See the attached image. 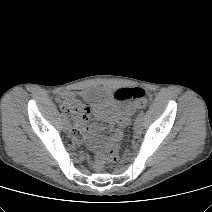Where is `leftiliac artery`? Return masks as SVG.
<instances>
[{
    "label": "left iliac artery",
    "instance_id": "obj_1",
    "mask_svg": "<svg viewBox=\"0 0 212 212\" xmlns=\"http://www.w3.org/2000/svg\"><path fill=\"white\" fill-rule=\"evenodd\" d=\"M138 117H139L140 119H143V117H144V111H143V110L140 111V113L138 114Z\"/></svg>",
    "mask_w": 212,
    "mask_h": 212
}]
</instances>
